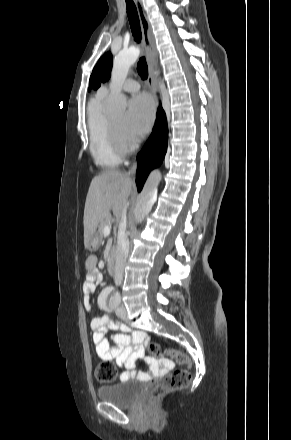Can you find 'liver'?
I'll list each match as a JSON object with an SVG mask.
<instances>
[{
  "label": "liver",
  "mask_w": 291,
  "mask_h": 440,
  "mask_svg": "<svg viewBox=\"0 0 291 440\" xmlns=\"http://www.w3.org/2000/svg\"><path fill=\"white\" fill-rule=\"evenodd\" d=\"M133 188L128 173L107 170L95 176L87 193L84 208V245L96 235L99 222L110 215L119 219L127 208V200Z\"/></svg>",
  "instance_id": "liver-1"
}]
</instances>
